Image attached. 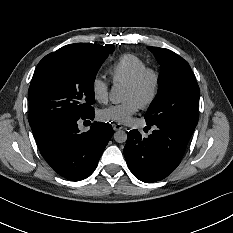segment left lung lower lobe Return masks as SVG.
I'll return each instance as SVG.
<instances>
[{
  "label": "left lung lower lobe",
  "instance_id": "1",
  "mask_svg": "<svg viewBox=\"0 0 233 233\" xmlns=\"http://www.w3.org/2000/svg\"><path fill=\"white\" fill-rule=\"evenodd\" d=\"M194 130L190 126L157 125L147 138L131 130L124 148L130 171L146 183L164 179L179 165Z\"/></svg>",
  "mask_w": 233,
  "mask_h": 233
}]
</instances>
